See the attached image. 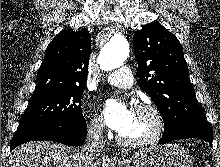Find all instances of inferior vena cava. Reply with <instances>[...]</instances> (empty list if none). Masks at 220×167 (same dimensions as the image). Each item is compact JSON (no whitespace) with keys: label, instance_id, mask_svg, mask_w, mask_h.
<instances>
[{"label":"inferior vena cava","instance_id":"obj_1","mask_svg":"<svg viewBox=\"0 0 220 167\" xmlns=\"http://www.w3.org/2000/svg\"><path fill=\"white\" fill-rule=\"evenodd\" d=\"M103 128L104 124L99 121L94 122L88 127L86 141L80 151V156L84 164H90L103 149Z\"/></svg>","mask_w":220,"mask_h":167}]
</instances>
